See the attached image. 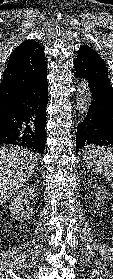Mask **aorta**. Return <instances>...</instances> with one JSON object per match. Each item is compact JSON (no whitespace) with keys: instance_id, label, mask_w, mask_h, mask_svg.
<instances>
[{"instance_id":"1","label":"aorta","mask_w":113,"mask_h":279,"mask_svg":"<svg viewBox=\"0 0 113 279\" xmlns=\"http://www.w3.org/2000/svg\"><path fill=\"white\" fill-rule=\"evenodd\" d=\"M92 101V93L86 79H80L76 86V110L78 116L84 118Z\"/></svg>"}]
</instances>
